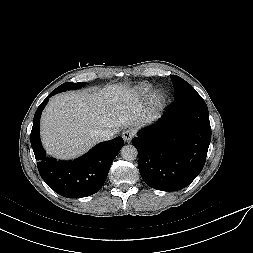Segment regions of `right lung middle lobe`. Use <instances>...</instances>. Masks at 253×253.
Here are the masks:
<instances>
[{
  "instance_id": "1",
  "label": "right lung middle lobe",
  "mask_w": 253,
  "mask_h": 253,
  "mask_svg": "<svg viewBox=\"0 0 253 253\" xmlns=\"http://www.w3.org/2000/svg\"><path fill=\"white\" fill-rule=\"evenodd\" d=\"M85 85V82H78V83H72V82H66L60 85L56 88L59 92L66 91L69 89H77Z\"/></svg>"
}]
</instances>
